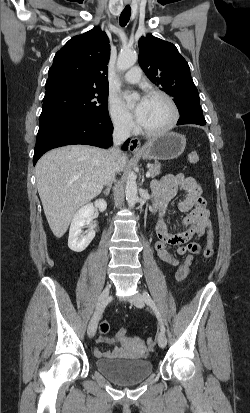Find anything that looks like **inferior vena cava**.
Masks as SVG:
<instances>
[{
    "mask_svg": "<svg viewBox=\"0 0 250 413\" xmlns=\"http://www.w3.org/2000/svg\"><path fill=\"white\" fill-rule=\"evenodd\" d=\"M112 137L114 146L106 151L107 162L105 184H107L108 186H111L112 182L115 180V174L116 172H118L115 164V159L121 152L118 146L130 137V129L128 123L125 120H117L114 122V131Z\"/></svg>",
    "mask_w": 250,
    "mask_h": 413,
    "instance_id": "inferior-vena-cava-1",
    "label": "inferior vena cava"
}]
</instances>
